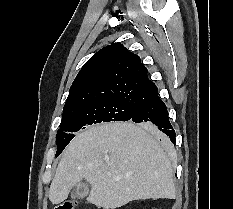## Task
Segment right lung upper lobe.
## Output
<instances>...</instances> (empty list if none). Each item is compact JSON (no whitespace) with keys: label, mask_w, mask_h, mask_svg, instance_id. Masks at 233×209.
Returning a JSON list of instances; mask_svg holds the SVG:
<instances>
[{"label":"right lung upper lobe","mask_w":233,"mask_h":209,"mask_svg":"<svg viewBox=\"0 0 233 209\" xmlns=\"http://www.w3.org/2000/svg\"><path fill=\"white\" fill-rule=\"evenodd\" d=\"M158 96L140 57L122 44L106 46L95 53L76 76L63 113L92 102L121 100L139 105Z\"/></svg>","instance_id":"1"}]
</instances>
